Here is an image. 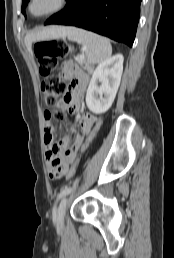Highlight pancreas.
I'll use <instances>...</instances> for the list:
<instances>
[{"instance_id":"cf45deb5","label":"pancreas","mask_w":174,"mask_h":258,"mask_svg":"<svg viewBox=\"0 0 174 258\" xmlns=\"http://www.w3.org/2000/svg\"><path fill=\"white\" fill-rule=\"evenodd\" d=\"M75 60L83 66V68L88 71L89 73L93 72L94 67L89 65L84 59H81L80 57H76Z\"/></svg>"}]
</instances>
